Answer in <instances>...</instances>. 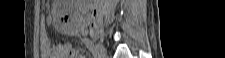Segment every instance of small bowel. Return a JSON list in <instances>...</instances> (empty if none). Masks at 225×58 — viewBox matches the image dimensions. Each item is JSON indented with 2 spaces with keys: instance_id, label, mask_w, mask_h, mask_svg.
<instances>
[{
  "instance_id": "small-bowel-1",
  "label": "small bowel",
  "mask_w": 225,
  "mask_h": 58,
  "mask_svg": "<svg viewBox=\"0 0 225 58\" xmlns=\"http://www.w3.org/2000/svg\"><path fill=\"white\" fill-rule=\"evenodd\" d=\"M55 3L52 2V5ZM46 23L51 25L53 23V18L48 16L46 18ZM68 34H76L77 28L76 27H69L67 30ZM46 53L47 58H74V48L71 43L63 42L51 47L49 43L45 44L44 50Z\"/></svg>"
}]
</instances>
